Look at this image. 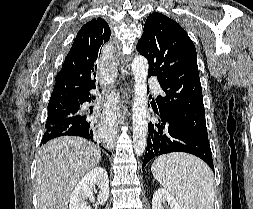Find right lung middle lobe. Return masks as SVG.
Here are the masks:
<instances>
[{"label":"right lung middle lobe","mask_w":253,"mask_h":209,"mask_svg":"<svg viewBox=\"0 0 253 209\" xmlns=\"http://www.w3.org/2000/svg\"><path fill=\"white\" fill-rule=\"evenodd\" d=\"M70 115H71V111H68V110L48 109V119H47L45 127L51 124L58 123Z\"/></svg>","instance_id":"right-lung-middle-lobe-1"}]
</instances>
